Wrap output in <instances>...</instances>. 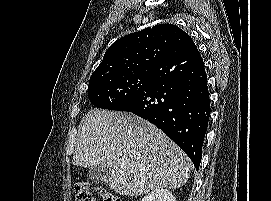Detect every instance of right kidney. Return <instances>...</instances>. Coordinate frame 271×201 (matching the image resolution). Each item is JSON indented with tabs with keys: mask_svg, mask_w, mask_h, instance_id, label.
Instances as JSON below:
<instances>
[{
	"mask_svg": "<svg viewBox=\"0 0 271 201\" xmlns=\"http://www.w3.org/2000/svg\"><path fill=\"white\" fill-rule=\"evenodd\" d=\"M141 201H176V198L169 190L158 189L146 195Z\"/></svg>",
	"mask_w": 271,
	"mask_h": 201,
	"instance_id": "right-kidney-1",
	"label": "right kidney"
}]
</instances>
